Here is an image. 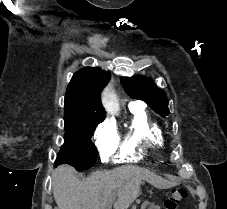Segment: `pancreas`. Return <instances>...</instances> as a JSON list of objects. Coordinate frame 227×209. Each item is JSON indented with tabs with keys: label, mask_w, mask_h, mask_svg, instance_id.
<instances>
[{
	"label": "pancreas",
	"mask_w": 227,
	"mask_h": 209,
	"mask_svg": "<svg viewBox=\"0 0 227 209\" xmlns=\"http://www.w3.org/2000/svg\"><path fill=\"white\" fill-rule=\"evenodd\" d=\"M144 209H155L153 206H146Z\"/></svg>",
	"instance_id": "obj_1"
}]
</instances>
